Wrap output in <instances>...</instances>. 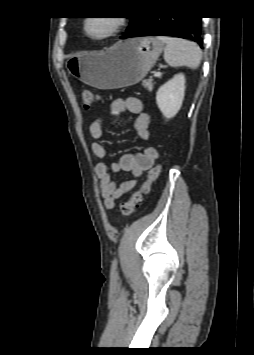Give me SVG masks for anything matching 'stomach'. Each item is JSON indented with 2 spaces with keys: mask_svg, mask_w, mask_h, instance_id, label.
<instances>
[{
  "mask_svg": "<svg viewBox=\"0 0 254 355\" xmlns=\"http://www.w3.org/2000/svg\"><path fill=\"white\" fill-rule=\"evenodd\" d=\"M164 48L155 37L119 41L104 52L69 56L66 69L73 77L99 89L131 86L151 70Z\"/></svg>",
  "mask_w": 254,
  "mask_h": 355,
  "instance_id": "1",
  "label": "stomach"
}]
</instances>
